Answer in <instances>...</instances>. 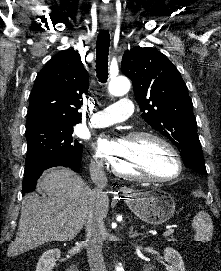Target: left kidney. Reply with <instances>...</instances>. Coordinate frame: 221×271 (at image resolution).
<instances>
[{"label": "left kidney", "mask_w": 221, "mask_h": 271, "mask_svg": "<svg viewBox=\"0 0 221 271\" xmlns=\"http://www.w3.org/2000/svg\"><path fill=\"white\" fill-rule=\"evenodd\" d=\"M163 253L165 261L170 263V265H167L168 271H185L184 261L176 249L165 247Z\"/></svg>", "instance_id": "obj_1"}]
</instances>
